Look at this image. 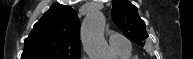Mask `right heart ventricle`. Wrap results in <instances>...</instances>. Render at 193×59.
I'll return each instance as SVG.
<instances>
[{"instance_id": "1", "label": "right heart ventricle", "mask_w": 193, "mask_h": 59, "mask_svg": "<svg viewBox=\"0 0 193 59\" xmlns=\"http://www.w3.org/2000/svg\"><path fill=\"white\" fill-rule=\"evenodd\" d=\"M117 55L120 59H130L131 56V50L130 51H116Z\"/></svg>"}]
</instances>
